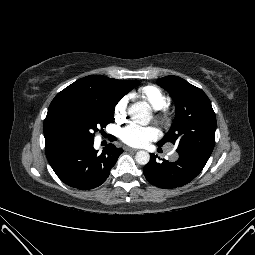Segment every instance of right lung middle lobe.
Segmentation results:
<instances>
[{
  "mask_svg": "<svg viewBox=\"0 0 255 255\" xmlns=\"http://www.w3.org/2000/svg\"><path fill=\"white\" fill-rule=\"evenodd\" d=\"M139 81H127L124 94L133 89ZM117 101L87 100L74 105L66 114L63 122L64 132L68 139L94 140V135L114 119V108Z\"/></svg>",
  "mask_w": 255,
  "mask_h": 255,
  "instance_id": "1",
  "label": "right lung middle lobe"
}]
</instances>
